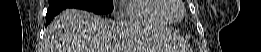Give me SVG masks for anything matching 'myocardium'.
<instances>
[{"label": "myocardium", "instance_id": "1", "mask_svg": "<svg viewBox=\"0 0 261 52\" xmlns=\"http://www.w3.org/2000/svg\"><path fill=\"white\" fill-rule=\"evenodd\" d=\"M174 6L168 11V16L170 17L172 23L182 20L185 15L184 8L180 5L179 0H169ZM178 14V15H177Z\"/></svg>", "mask_w": 261, "mask_h": 52}]
</instances>
